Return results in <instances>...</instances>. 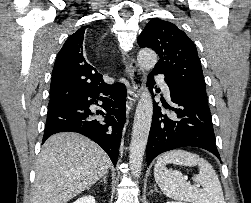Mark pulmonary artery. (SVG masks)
Instances as JSON below:
<instances>
[{
    "label": "pulmonary artery",
    "mask_w": 251,
    "mask_h": 203,
    "mask_svg": "<svg viewBox=\"0 0 251 203\" xmlns=\"http://www.w3.org/2000/svg\"><path fill=\"white\" fill-rule=\"evenodd\" d=\"M155 80L161 86L163 92L168 96L169 95V88L164 81V77L161 75H155Z\"/></svg>",
    "instance_id": "e3ab8cb5"
}]
</instances>
